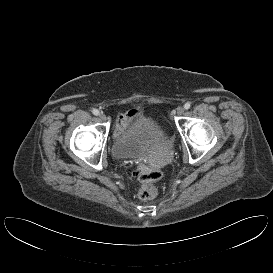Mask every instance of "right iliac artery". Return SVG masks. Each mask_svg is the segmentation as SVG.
<instances>
[{
    "label": "right iliac artery",
    "instance_id": "right-iliac-artery-1",
    "mask_svg": "<svg viewBox=\"0 0 273 273\" xmlns=\"http://www.w3.org/2000/svg\"><path fill=\"white\" fill-rule=\"evenodd\" d=\"M92 113H93L94 115H96V116L99 115V111H98L97 109H93V110H92Z\"/></svg>",
    "mask_w": 273,
    "mask_h": 273
}]
</instances>
